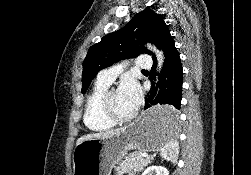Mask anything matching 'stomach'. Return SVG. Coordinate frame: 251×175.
Returning <instances> with one entry per match:
<instances>
[{
  "mask_svg": "<svg viewBox=\"0 0 251 175\" xmlns=\"http://www.w3.org/2000/svg\"><path fill=\"white\" fill-rule=\"evenodd\" d=\"M173 111L177 106L155 105L110 137L85 139L73 151V175H110L129 149H159L165 141H175L181 123Z\"/></svg>",
  "mask_w": 251,
  "mask_h": 175,
  "instance_id": "0dacf381",
  "label": "stomach"
}]
</instances>
